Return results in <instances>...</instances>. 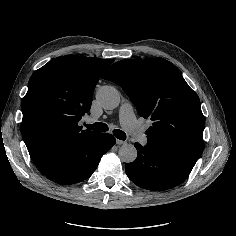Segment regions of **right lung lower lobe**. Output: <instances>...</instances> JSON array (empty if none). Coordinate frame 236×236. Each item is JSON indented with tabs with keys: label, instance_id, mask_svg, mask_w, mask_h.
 <instances>
[{
	"label": "right lung lower lobe",
	"instance_id": "right-lung-lower-lobe-1",
	"mask_svg": "<svg viewBox=\"0 0 236 236\" xmlns=\"http://www.w3.org/2000/svg\"><path fill=\"white\" fill-rule=\"evenodd\" d=\"M115 144L108 133H95L72 145L56 166L45 176L53 182L69 185L89 178L103 154Z\"/></svg>",
	"mask_w": 236,
	"mask_h": 236
}]
</instances>
